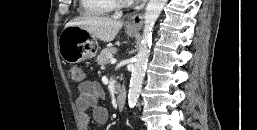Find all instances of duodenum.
Here are the masks:
<instances>
[{
  "label": "duodenum",
  "instance_id": "obj_1",
  "mask_svg": "<svg viewBox=\"0 0 257 130\" xmlns=\"http://www.w3.org/2000/svg\"><path fill=\"white\" fill-rule=\"evenodd\" d=\"M126 105V93L124 90H120L117 95V107L119 110H123Z\"/></svg>",
  "mask_w": 257,
  "mask_h": 130
}]
</instances>
